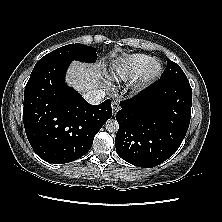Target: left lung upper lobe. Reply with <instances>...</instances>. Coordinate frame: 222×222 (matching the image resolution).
<instances>
[{"instance_id":"1","label":"left lung upper lobe","mask_w":222,"mask_h":222,"mask_svg":"<svg viewBox=\"0 0 222 222\" xmlns=\"http://www.w3.org/2000/svg\"><path fill=\"white\" fill-rule=\"evenodd\" d=\"M160 80L163 81H188L185 73L180 68L178 64L175 62L168 60L167 66L165 68V71L163 72L162 76L160 77Z\"/></svg>"}]
</instances>
